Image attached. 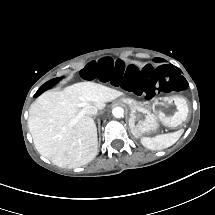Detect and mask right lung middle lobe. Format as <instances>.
<instances>
[{
    "mask_svg": "<svg viewBox=\"0 0 215 215\" xmlns=\"http://www.w3.org/2000/svg\"><path fill=\"white\" fill-rule=\"evenodd\" d=\"M59 81V78L50 80L48 82H46L45 84H43L38 91L35 93L34 97L39 96L41 93H43L45 90H47L48 88H50L51 86H53L55 83H57Z\"/></svg>",
    "mask_w": 215,
    "mask_h": 215,
    "instance_id": "dd1d6c3e",
    "label": "right lung middle lobe"
}]
</instances>
